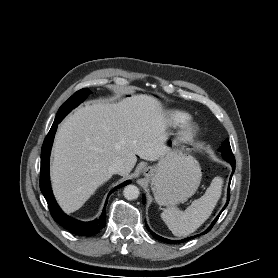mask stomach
Listing matches in <instances>:
<instances>
[{"instance_id": "stomach-1", "label": "stomach", "mask_w": 278, "mask_h": 278, "mask_svg": "<svg viewBox=\"0 0 278 278\" xmlns=\"http://www.w3.org/2000/svg\"><path fill=\"white\" fill-rule=\"evenodd\" d=\"M146 176L151 181L159 205L173 206L186 201L198 189L202 172L198 161L181 149H170L159 162L149 167Z\"/></svg>"}]
</instances>
